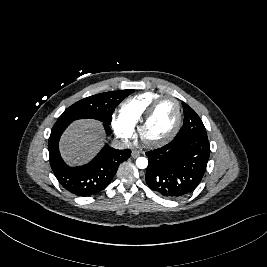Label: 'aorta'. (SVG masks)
<instances>
[{
    "label": "aorta",
    "mask_w": 267,
    "mask_h": 267,
    "mask_svg": "<svg viewBox=\"0 0 267 267\" xmlns=\"http://www.w3.org/2000/svg\"><path fill=\"white\" fill-rule=\"evenodd\" d=\"M136 166L139 169H145L148 166V160L145 157H139L136 160Z\"/></svg>",
    "instance_id": "762f6f07"
}]
</instances>
